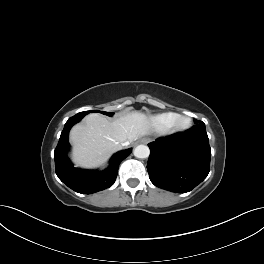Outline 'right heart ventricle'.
<instances>
[{
  "label": "right heart ventricle",
  "mask_w": 264,
  "mask_h": 264,
  "mask_svg": "<svg viewBox=\"0 0 264 264\" xmlns=\"http://www.w3.org/2000/svg\"><path fill=\"white\" fill-rule=\"evenodd\" d=\"M176 115L177 114L173 112L160 113L149 117L148 121L153 129L157 131H165L170 128Z\"/></svg>",
  "instance_id": "obj_1"
}]
</instances>
